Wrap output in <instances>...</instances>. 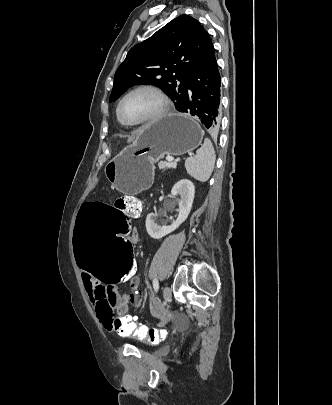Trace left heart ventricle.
I'll list each match as a JSON object with an SVG mask.
<instances>
[{
    "label": "left heart ventricle",
    "mask_w": 332,
    "mask_h": 405,
    "mask_svg": "<svg viewBox=\"0 0 332 405\" xmlns=\"http://www.w3.org/2000/svg\"><path fill=\"white\" fill-rule=\"evenodd\" d=\"M157 96L147 90L129 95L122 104V115L128 121H139L153 115L159 108Z\"/></svg>",
    "instance_id": "left-heart-ventricle-1"
}]
</instances>
